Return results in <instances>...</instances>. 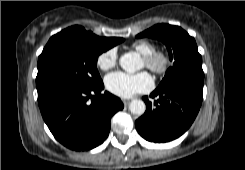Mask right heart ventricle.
Returning <instances> with one entry per match:
<instances>
[{
	"mask_svg": "<svg viewBox=\"0 0 245 170\" xmlns=\"http://www.w3.org/2000/svg\"><path fill=\"white\" fill-rule=\"evenodd\" d=\"M132 48L135 49L142 56L149 55L156 51V45L149 40H140L132 44Z\"/></svg>",
	"mask_w": 245,
	"mask_h": 170,
	"instance_id": "right-heart-ventricle-1",
	"label": "right heart ventricle"
}]
</instances>
